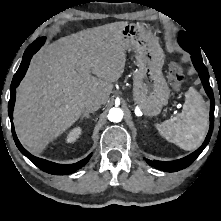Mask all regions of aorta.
<instances>
[{"mask_svg":"<svg viewBox=\"0 0 221 221\" xmlns=\"http://www.w3.org/2000/svg\"><path fill=\"white\" fill-rule=\"evenodd\" d=\"M108 119L111 122L118 123L123 119V111L120 108L113 107L109 110Z\"/></svg>","mask_w":221,"mask_h":221,"instance_id":"1","label":"aorta"}]
</instances>
